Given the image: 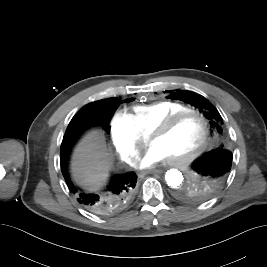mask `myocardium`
<instances>
[{"label": "myocardium", "mask_w": 267, "mask_h": 267, "mask_svg": "<svg viewBox=\"0 0 267 267\" xmlns=\"http://www.w3.org/2000/svg\"><path fill=\"white\" fill-rule=\"evenodd\" d=\"M189 115H194L197 116L203 125V136L202 139L199 143V145L195 148L193 152L190 154L181 157V158H174V159H169V162L175 165H186L195 158H197L199 155H201L204 150L206 149L208 145V139H209V122L205 115L201 113L198 110L194 109H187L183 110L180 112H177L175 114H172L168 118H166L163 122H161L157 127H155L152 132L149 134L150 135V140L153 137L156 136H161L166 134L170 129H172L179 121H181L183 118Z\"/></svg>", "instance_id": "myocardium-1"}]
</instances>
